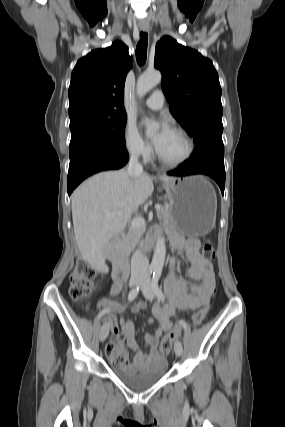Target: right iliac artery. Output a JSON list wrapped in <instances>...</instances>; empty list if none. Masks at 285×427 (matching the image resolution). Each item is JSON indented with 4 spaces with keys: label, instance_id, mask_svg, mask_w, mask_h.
Segmentation results:
<instances>
[{
    "label": "right iliac artery",
    "instance_id": "obj_1",
    "mask_svg": "<svg viewBox=\"0 0 285 427\" xmlns=\"http://www.w3.org/2000/svg\"><path fill=\"white\" fill-rule=\"evenodd\" d=\"M153 270H154V268H149V274H151L152 272H153ZM139 286H137V287H135V288H133L131 291H130V293H129V295H128V300L129 301H132V300H134L135 298H136V296L138 295V293H139ZM102 314L100 313L99 314V316H101ZM106 324V323H105Z\"/></svg>",
    "mask_w": 285,
    "mask_h": 427
}]
</instances>
